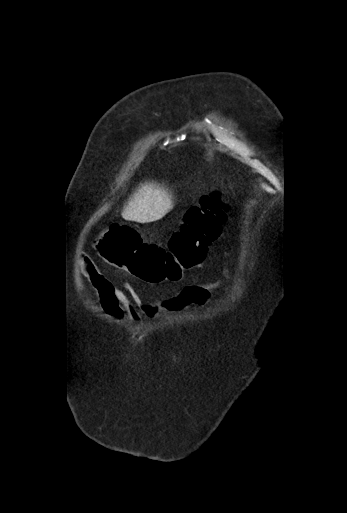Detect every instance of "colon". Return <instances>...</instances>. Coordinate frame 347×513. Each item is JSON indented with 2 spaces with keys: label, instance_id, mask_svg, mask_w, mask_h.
Segmentation results:
<instances>
[{
  "label": "colon",
  "instance_id": "colon-1",
  "mask_svg": "<svg viewBox=\"0 0 347 513\" xmlns=\"http://www.w3.org/2000/svg\"><path fill=\"white\" fill-rule=\"evenodd\" d=\"M227 211L221 194L212 192L188 209L167 248L142 241L134 229L122 224H111L96 248L107 263L146 283L179 280L203 262L207 248L221 233Z\"/></svg>",
  "mask_w": 347,
  "mask_h": 513
}]
</instances>
